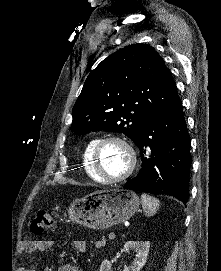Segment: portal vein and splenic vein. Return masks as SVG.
<instances>
[{
    "label": "portal vein and splenic vein",
    "instance_id": "18ae733b",
    "mask_svg": "<svg viewBox=\"0 0 221 271\" xmlns=\"http://www.w3.org/2000/svg\"><path fill=\"white\" fill-rule=\"evenodd\" d=\"M109 240H116V235H114V233H110V235L108 236Z\"/></svg>",
    "mask_w": 221,
    "mask_h": 271
}]
</instances>
